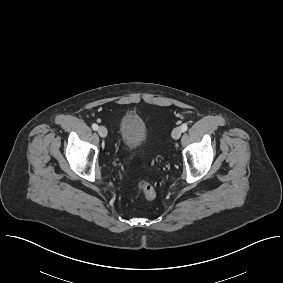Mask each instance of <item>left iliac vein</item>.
Segmentation results:
<instances>
[{
  "instance_id": "1",
  "label": "left iliac vein",
  "mask_w": 283,
  "mask_h": 283,
  "mask_svg": "<svg viewBox=\"0 0 283 283\" xmlns=\"http://www.w3.org/2000/svg\"><path fill=\"white\" fill-rule=\"evenodd\" d=\"M181 134H182V130L180 127H176L173 129L172 131V138L177 140L181 137Z\"/></svg>"
}]
</instances>
